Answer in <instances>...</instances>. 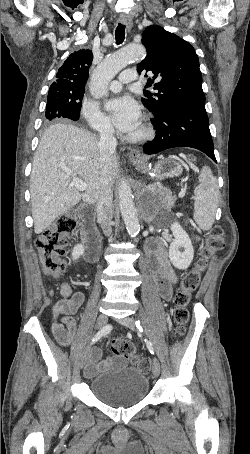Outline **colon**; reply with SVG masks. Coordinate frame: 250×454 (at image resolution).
<instances>
[{"mask_svg": "<svg viewBox=\"0 0 250 454\" xmlns=\"http://www.w3.org/2000/svg\"><path fill=\"white\" fill-rule=\"evenodd\" d=\"M78 216L73 211L62 214L49 226L35 242L39 252L43 272L51 278H58L67 268L64 259L67 241L75 234ZM224 247V232L221 227H213L201 247L199 258L193 268L182 276L174 296V320L178 334L185 332L190 314L188 305L192 293L199 285L202 273L206 270L211 258ZM113 354L130 359L142 371L150 369V361L135 354L134 347L125 340L117 339L112 342Z\"/></svg>", "mask_w": 250, "mask_h": 454, "instance_id": "1", "label": "colon"}]
</instances>
